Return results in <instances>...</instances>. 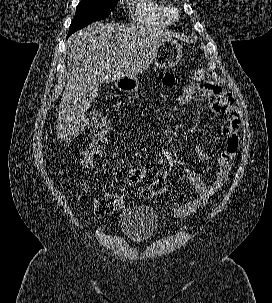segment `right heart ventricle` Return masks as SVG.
I'll use <instances>...</instances> for the list:
<instances>
[{
  "label": "right heart ventricle",
  "mask_w": 272,
  "mask_h": 303,
  "mask_svg": "<svg viewBox=\"0 0 272 303\" xmlns=\"http://www.w3.org/2000/svg\"><path fill=\"white\" fill-rule=\"evenodd\" d=\"M133 15L135 21L148 27L166 28L170 23L168 10L158 0H136Z\"/></svg>",
  "instance_id": "e07e8e85"
}]
</instances>
